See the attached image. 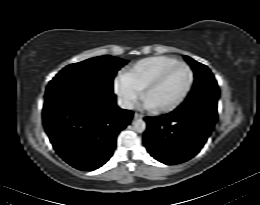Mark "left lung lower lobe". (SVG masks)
<instances>
[{"label": "left lung lower lobe", "instance_id": "1", "mask_svg": "<svg viewBox=\"0 0 260 205\" xmlns=\"http://www.w3.org/2000/svg\"><path fill=\"white\" fill-rule=\"evenodd\" d=\"M217 113L203 106L179 107L159 117H147L143 141L156 160L179 164L194 157L210 135Z\"/></svg>", "mask_w": 260, "mask_h": 205}]
</instances>
